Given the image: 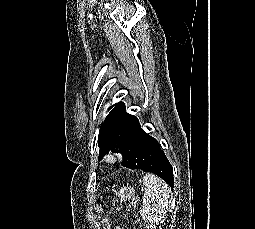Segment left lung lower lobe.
Listing matches in <instances>:
<instances>
[{
	"mask_svg": "<svg viewBox=\"0 0 255 229\" xmlns=\"http://www.w3.org/2000/svg\"><path fill=\"white\" fill-rule=\"evenodd\" d=\"M110 127L129 139L122 166L154 173L173 189V169L158 141L141 129L135 116L126 113L124 103L112 113Z\"/></svg>",
	"mask_w": 255,
	"mask_h": 229,
	"instance_id": "1",
	"label": "left lung lower lobe"
}]
</instances>
